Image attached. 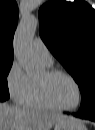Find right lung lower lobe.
Wrapping results in <instances>:
<instances>
[{"instance_id":"98d812e1","label":"right lung lower lobe","mask_w":95,"mask_h":130,"mask_svg":"<svg viewBox=\"0 0 95 130\" xmlns=\"http://www.w3.org/2000/svg\"><path fill=\"white\" fill-rule=\"evenodd\" d=\"M9 97L0 96V101H6Z\"/></svg>"}]
</instances>
